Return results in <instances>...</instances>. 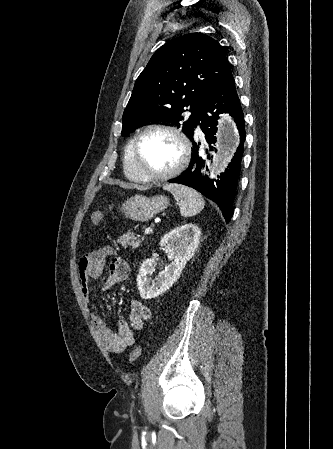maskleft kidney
Here are the masks:
<instances>
[{
	"mask_svg": "<svg viewBox=\"0 0 333 449\" xmlns=\"http://www.w3.org/2000/svg\"><path fill=\"white\" fill-rule=\"evenodd\" d=\"M200 238L201 229L191 223L179 226L164 235L160 244L165 253L173 257V261L165 270L159 272L152 283L148 275L152 273L155 261L148 258L142 263L137 276L140 296L151 299L168 290L179 279L187 261L199 247Z\"/></svg>",
	"mask_w": 333,
	"mask_h": 449,
	"instance_id": "left-kidney-1",
	"label": "left kidney"
}]
</instances>
